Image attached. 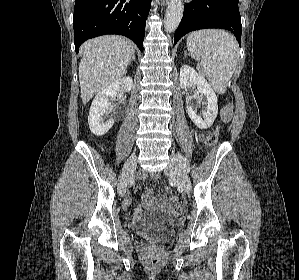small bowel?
<instances>
[{"label":"small bowel","instance_id":"obj_1","mask_svg":"<svg viewBox=\"0 0 299 280\" xmlns=\"http://www.w3.org/2000/svg\"><path fill=\"white\" fill-rule=\"evenodd\" d=\"M153 178H156V174H152ZM143 203L137 209L136 215H140L143 209H159V208H167L171 204L176 201V198L171 196L169 198H161L158 199L152 190H147L142 195ZM130 205V200H126L123 203V208H127Z\"/></svg>","mask_w":299,"mask_h":280}]
</instances>
